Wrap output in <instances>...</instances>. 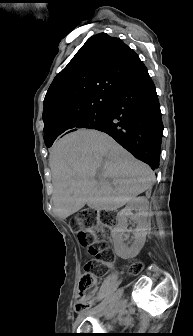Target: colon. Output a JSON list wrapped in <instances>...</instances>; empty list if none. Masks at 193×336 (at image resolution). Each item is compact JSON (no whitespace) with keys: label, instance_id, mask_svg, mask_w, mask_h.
<instances>
[{"label":"colon","instance_id":"5ec220e1","mask_svg":"<svg viewBox=\"0 0 193 336\" xmlns=\"http://www.w3.org/2000/svg\"><path fill=\"white\" fill-rule=\"evenodd\" d=\"M109 223L110 215L108 213L94 210L77 214L72 220V226L77 229L78 240L98 260L100 266H104L111 258L106 243ZM97 266L90 262L85 265V273L81 276L78 288L77 311H81L89 305L85 297L95 286L96 276L93 269ZM142 269L143 264L139 261L132 262L127 266L128 273L133 276L138 275Z\"/></svg>","mask_w":193,"mask_h":336}]
</instances>
